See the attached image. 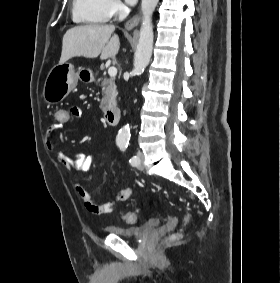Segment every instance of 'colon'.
<instances>
[{"instance_id":"5ec220e1","label":"colon","mask_w":280,"mask_h":283,"mask_svg":"<svg viewBox=\"0 0 280 283\" xmlns=\"http://www.w3.org/2000/svg\"><path fill=\"white\" fill-rule=\"evenodd\" d=\"M73 114H69V108L67 107H58L56 111H54V121L58 122V125H69L72 123ZM123 218L128 224H135L139 220V215L137 212H126L123 215ZM191 216L186 213L184 215L183 221L184 226H187L190 223Z\"/></svg>"}]
</instances>
